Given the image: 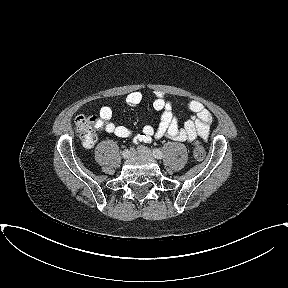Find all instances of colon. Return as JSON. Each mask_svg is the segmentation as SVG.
Segmentation results:
<instances>
[{
  "label": "colon",
  "mask_w": 288,
  "mask_h": 288,
  "mask_svg": "<svg viewBox=\"0 0 288 288\" xmlns=\"http://www.w3.org/2000/svg\"><path fill=\"white\" fill-rule=\"evenodd\" d=\"M96 121V117L90 115H80L75 119V130L83 144L86 146H92L96 142ZM193 156L198 162L204 160L205 149L201 143H195Z\"/></svg>",
  "instance_id": "1"
}]
</instances>
